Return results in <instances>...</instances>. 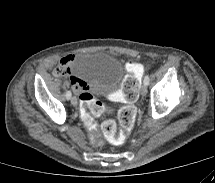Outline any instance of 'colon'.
<instances>
[{
    "instance_id": "5ec220e1",
    "label": "colon",
    "mask_w": 215,
    "mask_h": 183,
    "mask_svg": "<svg viewBox=\"0 0 215 183\" xmlns=\"http://www.w3.org/2000/svg\"><path fill=\"white\" fill-rule=\"evenodd\" d=\"M57 73L62 75L66 73V70L61 67L57 69ZM138 85V78L135 76L126 78L122 84V98L125 101V105L118 111V120L121 127L125 130L132 128L136 120V109L133 106V102L138 98ZM80 102L83 120L93 132L91 142L96 146L103 145L105 141L96 134V127L93 123L92 116H100L103 114L106 111L105 106L94 100L88 93L80 96ZM100 129L105 139L112 144L119 145L123 143L125 133L118 131L115 120H104L101 123Z\"/></svg>"
}]
</instances>
